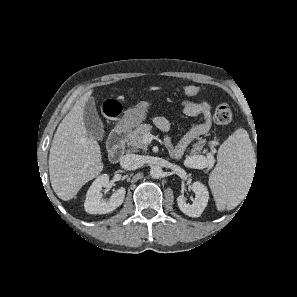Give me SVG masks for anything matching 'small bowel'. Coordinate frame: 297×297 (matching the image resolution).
<instances>
[{
  "instance_id": "obj_1",
  "label": "small bowel",
  "mask_w": 297,
  "mask_h": 297,
  "mask_svg": "<svg viewBox=\"0 0 297 297\" xmlns=\"http://www.w3.org/2000/svg\"><path fill=\"white\" fill-rule=\"evenodd\" d=\"M181 108L185 115L189 117H199L200 122L192 124L188 131L176 142L171 137H166L164 142L165 147L170 156L175 159L180 158L187 147L197 138L206 134L212 126V107L207 101L201 100L195 102L184 100L181 102ZM153 122L164 132H168L171 128V123L163 116L154 117Z\"/></svg>"
}]
</instances>
